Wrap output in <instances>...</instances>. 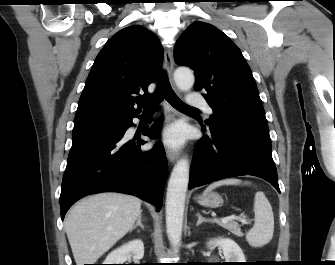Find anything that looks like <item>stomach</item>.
Segmentation results:
<instances>
[{"label":"stomach","instance_id":"obj_1","mask_svg":"<svg viewBox=\"0 0 335 265\" xmlns=\"http://www.w3.org/2000/svg\"><path fill=\"white\" fill-rule=\"evenodd\" d=\"M197 201L200 205L212 208L220 206L223 202L221 196L215 192L203 194L197 198Z\"/></svg>","mask_w":335,"mask_h":265}]
</instances>
